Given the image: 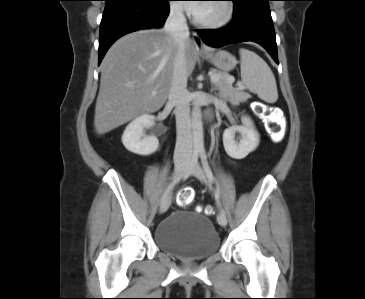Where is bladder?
Masks as SVG:
<instances>
[{
  "mask_svg": "<svg viewBox=\"0 0 365 299\" xmlns=\"http://www.w3.org/2000/svg\"><path fill=\"white\" fill-rule=\"evenodd\" d=\"M153 239L162 251L186 260L206 258L220 248L211 219L185 209H176L164 218L155 227Z\"/></svg>",
  "mask_w": 365,
  "mask_h": 299,
  "instance_id": "31cf9c89",
  "label": "bladder"
}]
</instances>
